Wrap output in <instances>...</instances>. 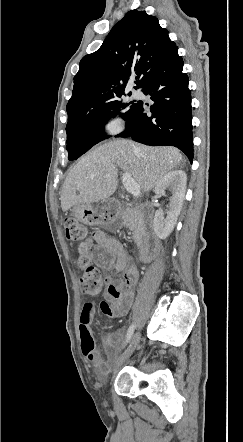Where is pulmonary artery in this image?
I'll use <instances>...</instances> for the list:
<instances>
[{"label": "pulmonary artery", "instance_id": "e3ab8cb5", "mask_svg": "<svg viewBox=\"0 0 243 442\" xmlns=\"http://www.w3.org/2000/svg\"><path fill=\"white\" fill-rule=\"evenodd\" d=\"M132 95H133V97L136 98V99L142 97L141 92H140V91H137V90H134L133 93H132Z\"/></svg>", "mask_w": 243, "mask_h": 442}]
</instances>
